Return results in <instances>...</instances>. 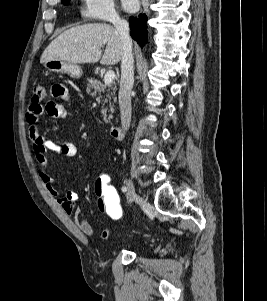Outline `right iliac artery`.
Returning <instances> with one entry per match:
<instances>
[{"instance_id": "obj_1", "label": "right iliac artery", "mask_w": 267, "mask_h": 301, "mask_svg": "<svg viewBox=\"0 0 267 301\" xmlns=\"http://www.w3.org/2000/svg\"><path fill=\"white\" fill-rule=\"evenodd\" d=\"M121 190H122V192H126V191H127V188H126L125 186H123ZM131 202H132V201H129V203H131Z\"/></svg>"}]
</instances>
